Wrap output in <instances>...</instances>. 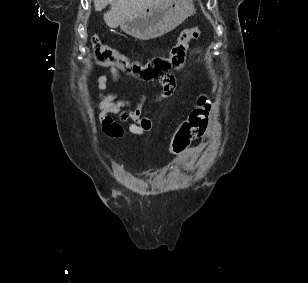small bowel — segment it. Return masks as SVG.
Instances as JSON below:
<instances>
[{
    "mask_svg": "<svg viewBox=\"0 0 308 283\" xmlns=\"http://www.w3.org/2000/svg\"><path fill=\"white\" fill-rule=\"evenodd\" d=\"M108 72L113 83H118L119 70L115 66H109ZM109 78L103 73L97 78L99 89L98 100L95 103V108L98 112L102 130L110 137L119 138L124 133V128L121 124H125L129 132L135 135H146L153 127L152 114L144 115L145 97L142 96L135 104L124 99L119 93H106ZM175 86L167 87L162 85V90L158 95L157 103L172 95ZM116 115L120 123L113 119ZM190 166V163L187 165Z\"/></svg>",
    "mask_w": 308,
    "mask_h": 283,
    "instance_id": "1",
    "label": "small bowel"
}]
</instances>
